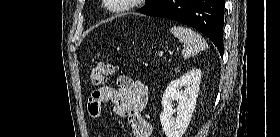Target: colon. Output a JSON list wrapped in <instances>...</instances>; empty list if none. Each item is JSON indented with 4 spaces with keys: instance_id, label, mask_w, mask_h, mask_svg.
Wrapping results in <instances>:
<instances>
[{
    "instance_id": "1",
    "label": "colon",
    "mask_w": 280,
    "mask_h": 137,
    "mask_svg": "<svg viewBox=\"0 0 280 137\" xmlns=\"http://www.w3.org/2000/svg\"><path fill=\"white\" fill-rule=\"evenodd\" d=\"M114 67L110 63H100L92 68L90 73V83L92 86L101 85L112 73Z\"/></svg>"
}]
</instances>
